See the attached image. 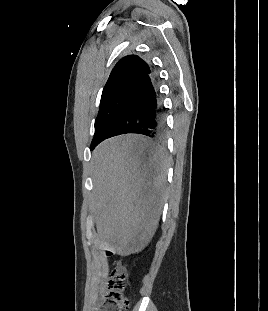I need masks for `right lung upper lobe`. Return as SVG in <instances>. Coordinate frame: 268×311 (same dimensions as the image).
Instances as JSON below:
<instances>
[{
    "label": "right lung upper lobe",
    "instance_id": "right-lung-upper-lobe-1",
    "mask_svg": "<svg viewBox=\"0 0 268 311\" xmlns=\"http://www.w3.org/2000/svg\"><path fill=\"white\" fill-rule=\"evenodd\" d=\"M150 72L148 64L137 55H128L117 62L104 86L102 96L130 84H137Z\"/></svg>",
    "mask_w": 268,
    "mask_h": 311
}]
</instances>
